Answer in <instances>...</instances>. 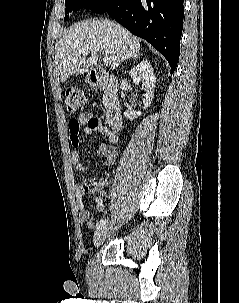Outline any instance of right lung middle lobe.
I'll list each match as a JSON object with an SVG mask.
<instances>
[{"mask_svg": "<svg viewBox=\"0 0 239 303\" xmlns=\"http://www.w3.org/2000/svg\"><path fill=\"white\" fill-rule=\"evenodd\" d=\"M106 0H65L66 3V15L65 19H68V13L72 10H79L80 8H88L91 10L96 9L101 4H103Z\"/></svg>", "mask_w": 239, "mask_h": 303, "instance_id": "obj_1", "label": "right lung middle lobe"}]
</instances>
